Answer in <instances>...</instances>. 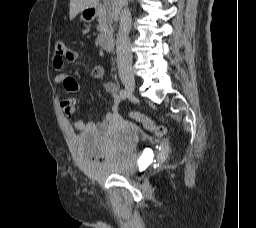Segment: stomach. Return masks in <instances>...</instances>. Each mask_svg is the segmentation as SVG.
I'll use <instances>...</instances> for the list:
<instances>
[{"label":"stomach","mask_w":256,"mask_h":228,"mask_svg":"<svg viewBox=\"0 0 256 228\" xmlns=\"http://www.w3.org/2000/svg\"><path fill=\"white\" fill-rule=\"evenodd\" d=\"M91 10H92L91 8H86V9L81 11V19L83 21L89 22V21L94 19L95 14L92 13Z\"/></svg>","instance_id":"obj_1"}]
</instances>
